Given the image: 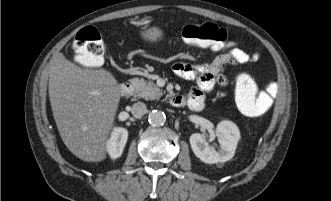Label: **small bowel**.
<instances>
[{
	"instance_id": "small-bowel-1",
	"label": "small bowel",
	"mask_w": 331,
	"mask_h": 201,
	"mask_svg": "<svg viewBox=\"0 0 331 201\" xmlns=\"http://www.w3.org/2000/svg\"><path fill=\"white\" fill-rule=\"evenodd\" d=\"M228 51L217 55L210 63L190 64L178 62L173 65L174 73L186 80H193L196 85L184 96V104L194 111L202 110L205 104V94L216 85L225 86L227 78L223 74L229 64L247 63L258 58V53L247 54L234 42L227 44Z\"/></svg>"
}]
</instances>
